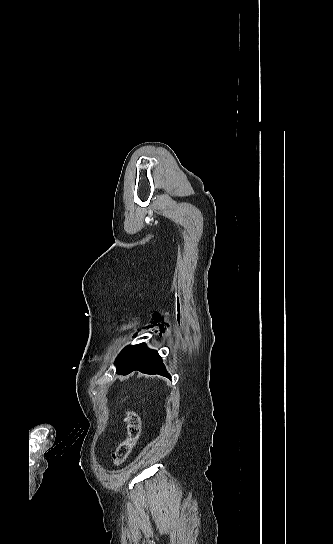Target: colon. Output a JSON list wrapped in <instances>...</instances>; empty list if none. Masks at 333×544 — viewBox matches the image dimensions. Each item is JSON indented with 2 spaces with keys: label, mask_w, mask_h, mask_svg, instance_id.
Instances as JSON below:
<instances>
[{
  "label": "colon",
  "mask_w": 333,
  "mask_h": 544,
  "mask_svg": "<svg viewBox=\"0 0 333 544\" xmlns=\"http://www.w3.org/2000/svg\"><path fill=\"white\" fill-rule=\"evenodd\" d=\"M127 428L126 438L110 453V461L114 466H121L136 447L142 434L140 415L134 410L125 411Z\"/></svg>",
  "instance_id": "5ec220e1"
}]
</instances>
